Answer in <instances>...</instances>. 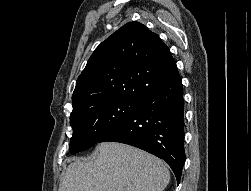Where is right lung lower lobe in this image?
<instances>
[{
  "instance_id": "right-lung-lower-lobe-1",
  "label": "right lung lower lobe",
  "mask_w": 251,
  "mask_h": 191,
  "mask_svg": "<svg viewBox=\"0 0 251 191\" xmlns=\"http://www.w3.org/2000/svg\"><path fill=\"white\" fill-rule=\"evenodd\" d=\"M138 103V108L99 142H121L156 155L169 164L179 184L186 159L181 77Z\"/></svg>"
}]
</instances>
